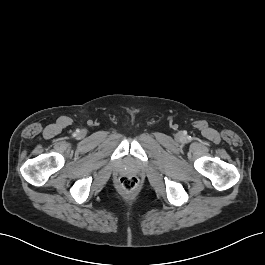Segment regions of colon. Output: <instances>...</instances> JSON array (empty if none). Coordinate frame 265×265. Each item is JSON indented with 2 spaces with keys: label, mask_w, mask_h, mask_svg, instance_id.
<instances>
[{
  "label": "colon",
  "mask_w": 265,
  "mask_h": 265,
  "mask_svg": "<svg viewBox=\"0 0 265 265\" xmlns=\"http://www.w3.org/2000/svg\"><path fill=\"white\" fill-rule=\"evenodd\" d=\"M120 185L125 190H134L137 186V179L133 176H123L120 178Z\"/></svg>",
  "instance_id": "obj_1"
}]
</instances>
